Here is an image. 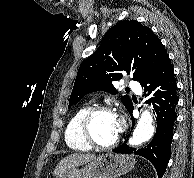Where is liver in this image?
<instances>
[{
    "label": "liver",
    "instance_id": "liver-1",
    "mask_svg": "<svg viewBox=\"0 0 194 178\" xmlns=\"http://www.w3.org/2000/svg\"><path fill=\"white\" fill-rule=\"evenodd\" d=\"M95 158L96 156L94 154H89V153H86V154L73 153L71 155H68L58 163V165L54 170V175L58 176L69 169L89 163L90 161H93Z\"/></svg>",
    "mask_w": 194,
    "mask_h": 178
}]
</instances>
